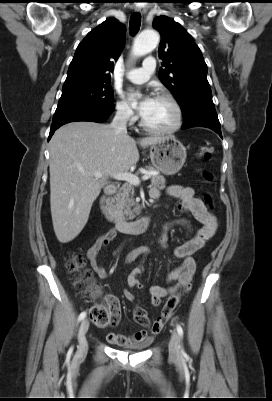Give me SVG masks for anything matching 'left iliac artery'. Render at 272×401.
<instances>
[{
  "label": "left iliac artery",
  "mask_w": 272,
  "mask_h": 401,
  "mask_svg": "<svg viewBox=\"0 0 272 401\" xmlns=\"http://www.w3.org/2000/svg\"><path fill=\"white\" fill-rule=\"evenodd\" d=\"M176 329H177V332H178V334L180 335V337H182V336H183V329H182V327H181L179 324H177ZM181 352L184 353L183 348L181 349Z\"/></svg>",
  "instance_id": "44dca946"
}]
</instances>
